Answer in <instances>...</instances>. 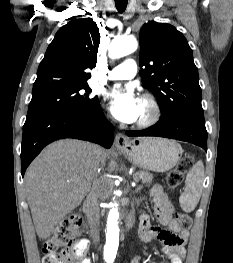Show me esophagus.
Returning a JSON list of instances; mask_svg holds the SVG:
<instances>
[{"instance_id":"esophagus-1","label":"esophagus","mask_w":233,"mask_h":263,"mask_svg":"<svg viewBox=\"0 0 233 263\" xmlns=\"http://www.w3.org/2000/svg\"><path fill=\"white\" fill-rule=\"evenodd\" d=\"M114 144L117 148H126L129 144V139L122 133H117Z\"/></svg>"}]
</instances>
